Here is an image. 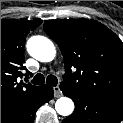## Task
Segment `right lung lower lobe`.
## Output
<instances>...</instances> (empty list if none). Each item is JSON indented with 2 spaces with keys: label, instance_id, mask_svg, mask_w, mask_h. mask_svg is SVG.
<instances>
[{
  "label": "right lung lower lobe",
  "instance_id": "obj_1",
  "mask_svg": "<svg viewBox=\"0 0 123 123\" xmlns=\"http://www.w3.org/2000/svg\"><path fill=\"white\" fill-rule=\"evenodd\" d=\"M53 98V88L42 85L37 94L24 104L1 113V123H34L38 108Z\"/></svg>",
  "mask_w": 123,
  "mask_h": 123
}]
</instances>
